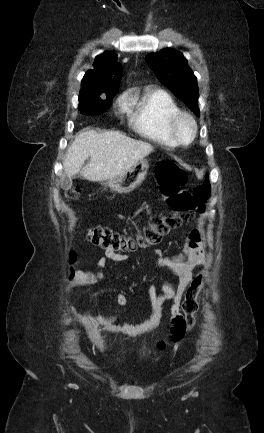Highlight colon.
<instances>
[{
	"mask_svg": "<svg viewBox=\"0 0 264 433\" xmlns=\"http://www.w3.org/2000/svg\"><path fill=\"white\" fill-rule=\"evenodd\" d=\"M157 182L171 211L153 215L147 226L134 236L121 234L102 227H94L88 231L87 239L92 244L112 253L131 252L138 248H146L157 244L171 230L188 222L196 211H203L210 195V183L206 179L199 184L193 193L183 190L186 184V172L173 161L162 162L157 169ZM80 194L79 187L66 192L69 199ZM204 284V274L200 273L191 281L182 302L183 316L188 329L195 324V312L198 308V295Z\"/></svg>",
	"mask_w": 264,
	"mask_h": 433,
	"instance_id": "1",
	"label": "colon"
}]
</instances>
